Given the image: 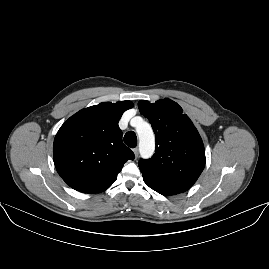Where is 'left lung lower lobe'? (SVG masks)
Listing matches in <instances>:
<instances>
[{
  "instance_id": "0a47b994",
  "label": "left lung lower lobe",
  "mask_w": 269,
  "mask_h": 269,
  "mask_svg": "<svg viewBox=\"0 0 269 269\" xmlns=\"http://www.w3.org/2000/svg\"><path fill=\"white\" fill-rule=\"evenodd\" d=\"M143 179L150 188L165 196L185 192L191 187L190 185L163 182L145 176H143Z\"/></svg>"
}]
</instances>
